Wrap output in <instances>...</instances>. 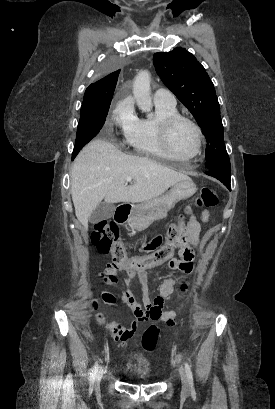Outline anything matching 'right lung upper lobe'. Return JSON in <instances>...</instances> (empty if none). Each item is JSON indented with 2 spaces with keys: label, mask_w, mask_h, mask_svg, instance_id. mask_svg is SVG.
Segmentation results:
<instances>
[{
  "label": "right lung upper lobe",
  "mask_w": 275,
  "mask_h": 409,
  "mask_svg": "<svg viewBox=\"0 0 275 409\" xmlns=\"http://www.w3.org/2000/svg\"><path fill=\"white\" fill-rule=\"evenodd\" d=\"M119 73H111L89 85L84 94V102L111 101L116 90Z\"/></svg>",
  "instance_id": "1"
}]
</instances>
